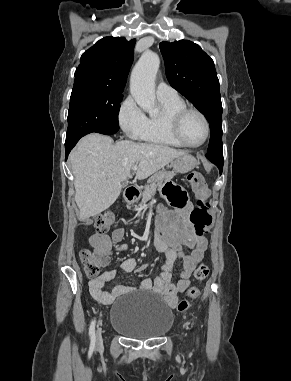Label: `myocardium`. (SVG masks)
Listing matches in <instances>:
<instances>
[{"label": "myocardium", "instance_id": "obj_1", "mask_svg": "<svg viewBox=\"0 0 291 381\" xmlns=\"http://www.w3.org/2000/svg\"><path fill=\"white\" fill-rule=\"evenodd\" d=\"M189 113H195V114L199 115L201 117V119L203 120L204 125H205L204 138L198 144H191V143L187 142L181 133L182 120ZM169 129H170L171 134L174 136V138L176 140H178L185 147H189V148L201 147L202 145H204L206 143V141L208 140L209 135H210V123H209V120L206 117V115L202 111H200L199 109L190 108V107H185V108L180 109V110L174 112L173 114H171V116L169 117Z\"/></svg>", "mask_w": 291, "mask_h": 381}]
</instances>
